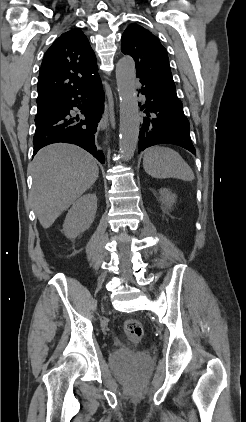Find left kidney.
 I'll return each instance as SVG.
<instances>
[{
	"label": "left kidney",
	"mask_w": 246,
	"mask_h": 422,
	"mask_svg": "<svg viewBox=\"0 0 246 422\" xmlns=\"http://www.w3.org/2000/svg\"><path fill=\"white\" fill-rule=\"evenodd\" d=\"M160 194H161V201L162 203L167 207V208H171L172 205L176 202V198L177 196L175 194H173L169 189L167 188H162L160 189Z\"/></svg>",
	"instance_id": "1"
}]
</instances>
